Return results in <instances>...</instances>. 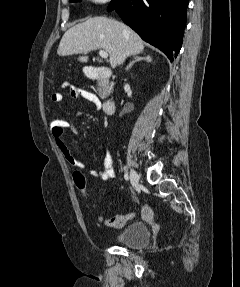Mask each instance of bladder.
<instances>
[{"mask_svg": "<svg viewBox=\"0 0 240 287\" xmlns=\"http://www.w3.org/2000/svg\"><path fill=\"white\" fill-rule=\"evenodd\" d=\"M114 240L120 245L136 249L150 242V234L145 224L132 223L116 234Z\"/></svg>", "mask_w": 240, "mask_h": 287, "instance_id": "1", "label": "bladder"}]
</instances>
